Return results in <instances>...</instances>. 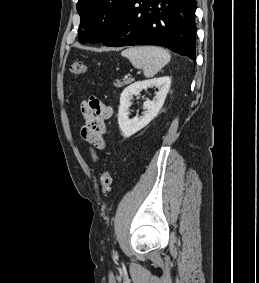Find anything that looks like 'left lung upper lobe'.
<instances>
[{"label":"left lung upper lobe","mask_w":259,"mask_h":283,"mask_svg":"<svg viewBox=\"0 0 259 283\" xmlns=\"http://www.w3.org/2000/svg\"><path fill=\"white\" fill-rule=\"evenodd\" d=\"M130 2L131 0H79V41L83 44L100 43L110 37L127 12Z\"/></svg>","instance_id":"left-lung-upper-lobe-1"}]
</instances>
